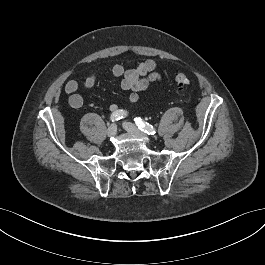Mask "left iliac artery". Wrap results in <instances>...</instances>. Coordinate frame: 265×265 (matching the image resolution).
<instances>
[{
    "label": "left iliac artery",
    "mask_w": 265,
    "mask_h": 265,
    "mask_svg": "<svg viewBox=\"0 0 265 265\" xmlns=\"http://www.w3.org/2000/svg\"><path fill=\"white\" fill-rule=\"evenodd\" d=\"M134 121L136 122V125L138 126V128L147 133L148 135H154L156 133L155 128L150 125L147 122H144L140 117L135 118Z\"/></svg>",
    "instance_id": "1"
}]
</instances>
